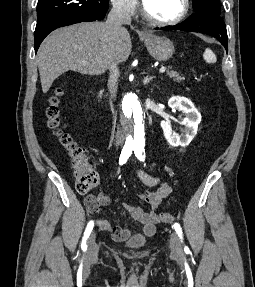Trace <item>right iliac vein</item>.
<instances>
[{"label":"right iliac vein","mask_w":255,"mask_h":287,"mask_svg":"<svg viewBox=\"0 0 255 287\" xmlns=\"http://www.w3.org/2000/svg\"><path fill=\"white\" fill-rule=\"evenodd\" d=\"M95 239H96V234L95 232H92L87 242L88 248H87V253H86V259L89 262L94 261L98 255V245L96 244Z\"/></svg>","instance_id":"obj_1"}]
</instances>
